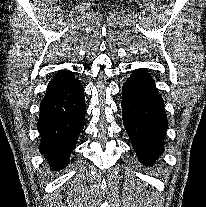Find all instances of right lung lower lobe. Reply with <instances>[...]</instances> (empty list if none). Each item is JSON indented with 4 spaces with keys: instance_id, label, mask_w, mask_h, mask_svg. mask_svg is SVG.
I'll return each mask as SVG.
<instances>
[{
    "instance_id": "obj_1",
    "label": "right lung lower lobe",
    "mask_w": 206,
    "mask_h": 207,
    "mask_svg": "<svg viewBox=\"0 0 206 207\" xmlns=\"http://www.w3.org/2000/svg\"><path fill=\"white\" fill-rule=\"evenodd\" d=\"M86 105L81 82L61 70L49 82L40 104L37 129L40 152L53 170L64 168L85 122Z\"/></svg>"
}]
</instances>
